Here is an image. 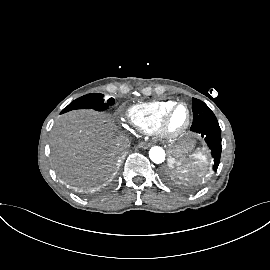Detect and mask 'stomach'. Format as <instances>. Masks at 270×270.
Masks as SVG:
<instances>
[{
    "label": "stomach",
    "mask_w": 270,
    "mask_h": 270,
    "mask_svg": "<svg viewBox=\"0 0 270 270\" xmlns=\"http://www.w3.org/2000/svg\"><path fill=\"white\" fill-rule=\"evenodd\" d=\"M194 147V140L191 137H186L176 144L169 146V167L177 176H182L188 173L189 170L183 165V160L187 153Z\"/></svg>",
    "instance_id": "1"
}]
</instances>
